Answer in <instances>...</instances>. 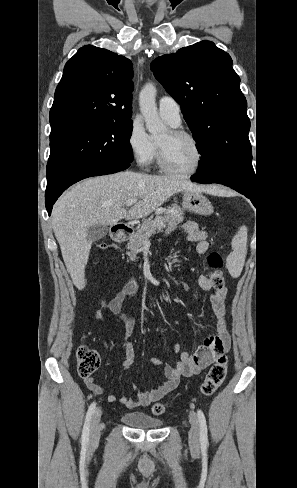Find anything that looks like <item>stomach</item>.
I'll return each instance as SVG.
<instances>
[{
	"mask_svg": "<svg viewBox=\"0 0 297 488\" xmlns=\"http://www.w3.org/2000/svg\"><path fill=\"white\" fill-rule=\"evenodd\" d=\"M182 194L183 205L186 210L202 216L213 213V206L201 192L184 190Z\"/></svg>",
	"mask_w": 297,
	"mask_h": 488,
	"instance_id": "obj_1",
	"label": "stomach"
}]
</instances>
